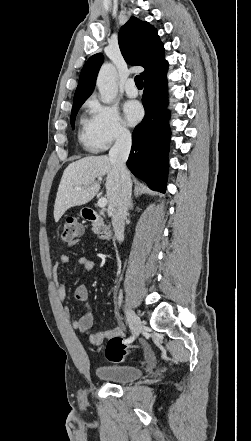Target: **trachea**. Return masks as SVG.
I'll return each mask as SVG.
<instances>
[{
	"instance_id": "obj_1",
	"label": "trachea",
	"mask_w": 251,
	"mask_h": 441,
	"mask_svg": "<svg viewBox=\"0 0 251 441\" xmlns=\"http://www.w3.org/2000/svg\"><path fill=\"white\" fill-rule=\"evenodd\" d=\"M135 83L137 87H143V80L141 75L135 77Z\"/></svg>"
}]
</instances>
